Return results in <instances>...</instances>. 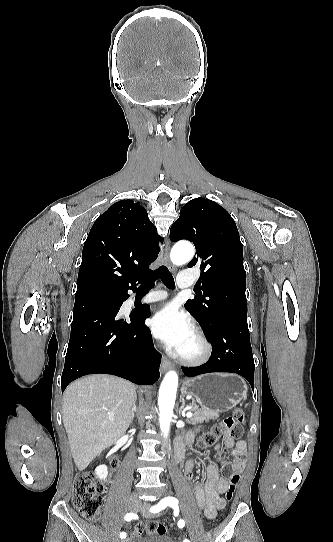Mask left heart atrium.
Segmentation results:
<instances>
[{"mask_svg": "<svg viewBox=\"0 0 333 542\" xmlns=\"http://www.w3.org/2000/svg\"><path fill=\"white\" fill-rule=\"evenodd\" d=\"M151 327L173 354H178L186 341L195 333L192 319L173 304L165 306L155 314Z\"/></svg>", "mask_w": 333, "mask_h": 542, "instance_id": "39dd6f15", "label": "left heart atrium"}]
</instances>
